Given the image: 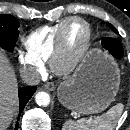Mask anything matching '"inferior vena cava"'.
<instances>
[{"instance_id": "1", "label": "inferior vena cava", "mask_w": 130, "mask_h": 130, "mask_svg": "<svg viewBox=\"0 0 130 130\" xmlns=\"http://www.w3.org/2000/svg\"><path fill=\"white\" fill-rule=\"evenodd\" d=\"M21 76L28 85H37L41 80V76L33 66H23Z\"/></svg>"}]
</instances>
